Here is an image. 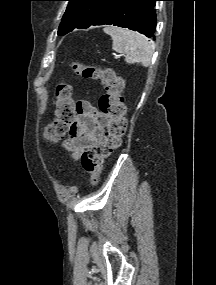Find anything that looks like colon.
<instances>
[{"mask_svg": "<svg viewBox=\"0 0 216 285\" xmlns=\"http://www.w3.org/2000/svg\"><path fill=\"white\" fill-rule=\"evenodd\" d=\"M73 72L83 78L98 80L104 87L105 94L100 99L99 111L107 117L106 132L103 138L81 157L84 170L89 174L90 183L95 185L101 175L104 160L121 144L127 122L123 96L124 80L110 68L85 65L75 61L71 64ZM70 85L61 82L55 90V118L45 128V137L57 141L64 136L74 122L77 106L72 98Z\"/></svg>", "mask_w": 216, "mask_h": 285, "instance_id": "obj_1", "label": "colon"}]
</instances>
